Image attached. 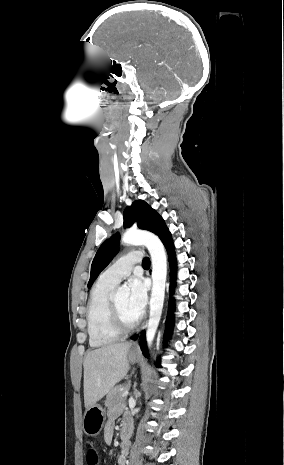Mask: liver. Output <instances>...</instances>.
<instances>
[{"instance_id":"obj_1","label":"liver","mask_w":284,"mask_h":465,"mask_svg":"<svg viewBox=\"0 0 284 465\" xmlns=\"http://www.w3.org/2000/svg\"><path fill=\"white\" fill-rule=\"evenodd\" d=\"M130 347L131 343H109L87 353L83 361L85 409L94 407L126 377L130 369L127 359Z\"/></svg>"}]
</instances>
